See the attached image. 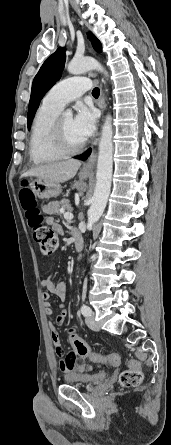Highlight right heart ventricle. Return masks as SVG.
<instances>
[{
	"instance_id": "right-heart-ventricle-1",
	"label": "right heart ventricle",
	"mask_w": 171,
	"mask_h": 445,
	"mask_svg": "<svg viewBox=\"0 0 171 445\" xmlns=\"http://www.w3.org/2000/svg\"><path fill=\"white\" fill-rule=\"evenodd\" d=\"M60 111L43 102L36 112L29 141L30 159L35 164L52 162L63 156L53 147L50 138L52 122L59 116Z\"/></svg>"
}]
</instances>
